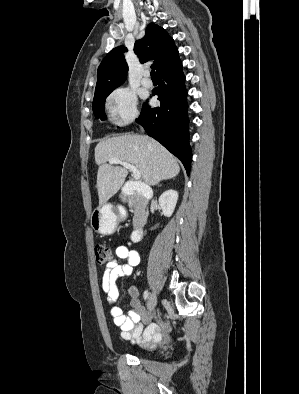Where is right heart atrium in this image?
Listing matches in <instances>:
<instances>
[{"instance_id":"1","label":"right heart atrium","mask_w":299,"mask_h":394,"mask_svg":"<svg viewBox=\"0 0 299 394\" xmlns=\"http://www.w3.org/2000/svg\"><path fill=\"white\" fill-rule=\"evenodd\" d=\"M107 107L112 121L118 126L130 124L139 115L135 93L124 86L110 94Z\"/></svg>"}]
</instances>
